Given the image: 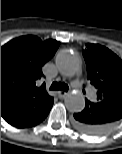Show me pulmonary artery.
I'll use <instances>...</instances> for the list:
<instances>
[{
    "label": "pulmonary artery",
    "instance_id": "obj_1",
    "mask_svg": "<svg viewBox=\"0 0 122 154\" xmlns=\"http://www.w3.org/2000/svg\"><path fill=\"white\" fill-rule=\"evenodd\" d=\"M74 87H76L77 89H82L83 87V82L77 78L74 82H73Z\"/></svg>",
    "mask_w": 122,
    "mask_h": 154
}]
</instances>
